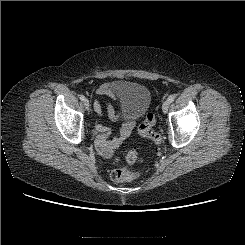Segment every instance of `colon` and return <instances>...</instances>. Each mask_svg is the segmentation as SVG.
<instances>
[{
    "instance_id": "5ec220e1",
    "label": "colon",
    "mask_w": 245,
    "mask_h": 245,
    "mask_svg": "<svg viewBox=\"0 0 245 245\" xmlns=\"http://www.w3.org/2000/svg\"><path fill=\"white\" fill-rule=\"evenodd\" d=\"M155 125V117L152 113L146 115L143 122L138 126V133L147 139L152 140L154 143L159 144L161 137L158 133L153 130ZM126 161L128 163H135L140 160L139 154L136 150L131 149L126 153ZM116 162L120 161L119 157L115 158ZM139 178V174L128 168L120 167L111 172V179L115 182H129Z\"/></svg>"
}]
</instances>
